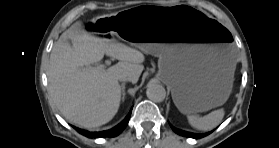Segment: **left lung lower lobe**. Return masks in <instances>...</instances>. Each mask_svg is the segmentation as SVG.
<instances>
[{
  "mask_svg": "<svg viewBox=\"0 0 279 148\" xmlns=\"http://www.w3.org/2000/svg\"><path fill=\"white\" fill-rule=\"evenodd\" d=\"M172 129H173L174 132H176L177 134H179L181 136L194 138V139H199V138L205 137L212 132V131H210V132L204 133V134H195V133H190V132L182 131V130H179V129H175L174 127H172Z\"/></svg>",
  "mask_w": 279,
  "mask_h": 148,
  "instance_id": "left-lung-lower-lobe-1",
  "label": "left lung lower lobe"
}]
</instances>
